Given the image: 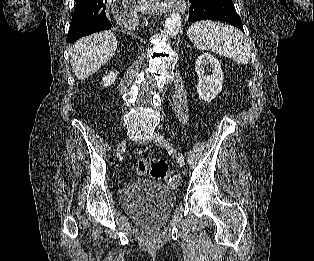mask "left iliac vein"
I'll use <instances>...</instances> for the list:
<instances>
[{
  "instance_id": "1",
  "label": "left iliac vein",
  "mask_w": 314,
  "mask_h": 261,
  "mask_svg": "<svg viewBox=\"0 0 314 261\" xmlns=\"http://www.w3.org/2000/svg\"><path fill=\"white\" fill-rule=\"evenodd\" d=\"M153 142L158 146L165 147L168 150H170L175 156L178 164L181 167L185 166V160H184L183 155L176 148H174L172 144L163 135L156 133L154 135Z\"/></svg>"
}]
</instances>
